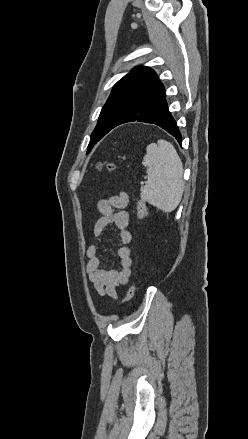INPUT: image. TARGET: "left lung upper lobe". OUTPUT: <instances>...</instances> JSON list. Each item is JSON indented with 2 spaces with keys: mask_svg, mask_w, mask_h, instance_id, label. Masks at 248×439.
Listing matches in <instances>:
<instances>
[{
  "mask_svg": "<svg viewBox=\"0 0 248 439\" xmlns=\"http://www.w3.org/2000/svg\"><path fill=\"white\" fill-rule=\"evenodd\" d=\"M156 73L146 66L135 67L113 87L103 106L87 152L141 101L158 82Z\"/></svg>",
  "mask_w": 248,
  "mask_h": 439,
  "instance_id": "left-lung-upper-lobe-1",
  "label": "left lung upper lobe"
}]
</instances>
